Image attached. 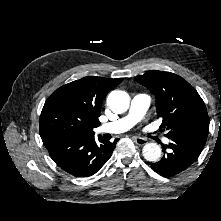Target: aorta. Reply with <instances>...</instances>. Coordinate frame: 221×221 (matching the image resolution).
<instances>
[{
    "label": "aorta",
    "instance_id": "aorta-1",
    "mask_svg": "<svg viewBox=\"0 0 221 221\" xmlns=\"http://www.w3.org/2000/svg\"><path fill=\"white\" fill-rule=\"evenodd\" d=\"M130 97L127 92L114 90L107 97V105L115 113H123L128 110ZM144 158L149 162H158L161 159V148L156 143H147L142 149Z\"/></svg>",
    "mask_w": 221,
    "mask_h": 221
}]
</instances>
